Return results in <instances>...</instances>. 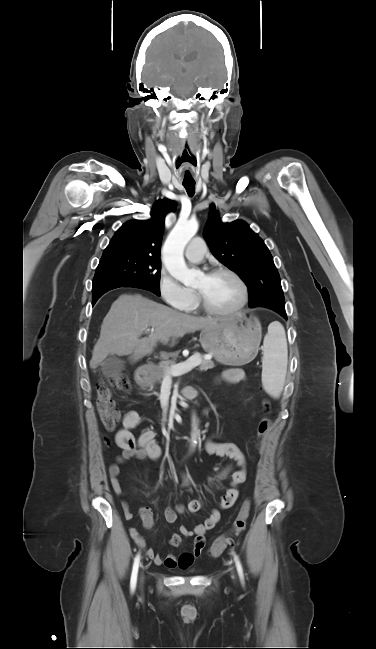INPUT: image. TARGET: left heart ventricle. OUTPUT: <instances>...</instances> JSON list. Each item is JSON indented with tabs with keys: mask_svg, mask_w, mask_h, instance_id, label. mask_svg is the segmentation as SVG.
Masks as SVG:
<instances>
[{
	"mask_svg": "<svg viewBox=\"0 0 376 649\" xmlns=\"http://www.w3.org/2000/svg\"><path fill=\"white\" fill-rule=\"evenodd\" d=\"M194 288L204 295L210 306L220 310L234 307L241 298L238 283L224 273L212 276L202 275Z\"/></svg>",
	"mask_w": 376,
	"mask_h": 649,
	"instance_id": "1",
	"label": "left heart ventricle"
}]
</instances>
